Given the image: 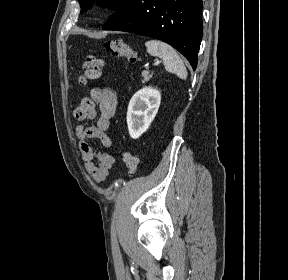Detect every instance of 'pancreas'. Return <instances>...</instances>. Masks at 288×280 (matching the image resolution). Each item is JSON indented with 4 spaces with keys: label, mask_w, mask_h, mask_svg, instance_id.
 <instances>
[{
    "label": "pancreas",
    "mask_w": 288,
    "mask_h": 280,
    "mask_svg": "<svg viewBox=\"0 0 288 280\" xmlns=\"http://www.w3.org/2000/svg\"><path fill=\"white\" fill-rule=\"evenodd\" d=\"M152 75H153V72L150 73V71H143L142 72V77H143L142 82L144 83L145 81H149V79L152 78Z\"/></svg>",
    "instance_id": "1"
}]
</instances>
